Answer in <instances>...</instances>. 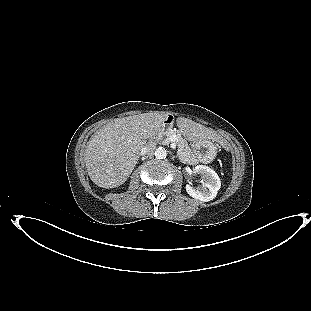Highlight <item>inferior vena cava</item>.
Instances as JSON below:
<instances>
[{
    "label": "inferior vena cava",
    "mask_w": 311,
    "mask_h": 311,
    "mask_svg": "<svg viewBox=\"0 0 311 311\" xmlns=\"http://www.w3.org/2000/svg\"><path fill=\"white\" fill-rule=\"evenodd\" d=\"M154 149H155V144L151 142V143L145 144V146L141 150V153L143 155H150L153 153Z\"/></svg>",
    "instance_id": "inferior-vena-cava-1"
}]
</instances>
